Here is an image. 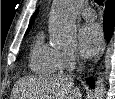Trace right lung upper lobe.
<instances>
[{
	"instance_id": "1",
	"label": "right lung upper lobe",
	"mask_w": 115,
	"mask_h": 99,
	"mask_svg": "<svg viewBox=\"0 0 115 99\" xmlns=\"http://www.w3.org/2000/svg\"><path fill=\"white\" fill-rule=\"evenodd\" d=\"M108 1H110V0H108ZM37 12H38V10H36L35 13L33 14V18L31 19V21H30V23H29V28H30L31 25L33 24L34 19H35L36 15H37ZM27 32H28V30H27ZM27 32H26V33H27Z\"/></svg>"
}]
</instances>
